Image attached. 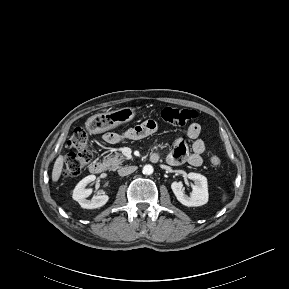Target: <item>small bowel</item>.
Returning <instances> with one entry per match:
<instances>
[{"mask_svg":"<svg viewBox=\"0 0 289 289\" xmlns=\"http://www.w3.org/2000/svg\"><path fill=\"white\" fill-rule=\"evenodd\" d=\"M158 129V124L154 120H148L122 133L109 132L103 136L105 142L115 144L123 139L138 140L154 134ZM201 127L198 123L191 124L186 130L188 138L193 140L191 152H189L186 143L177 140L172 151L167 156V162L171 165H179L188 162L192 166L202 164V154L205 151V143L199 138Z\"/></svg>","mask_w":289,"mask_h":289,"instance_id":"obj_1","label":"small bowel"}]
</instances>
